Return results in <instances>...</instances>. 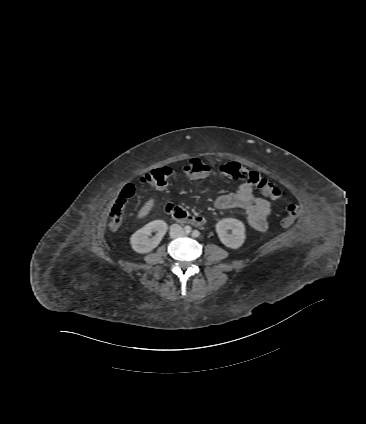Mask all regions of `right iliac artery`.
<instances>
[{
    "instance_id": "obj_1",
    "label": "right iliac artery",
    "mask_w": 366,
    "mask_h": 424,
    "mask_svg": "<svg viewBox=\"0 0 366 424\" xmlns=\"http://www.w3.org/2000/svg\"><path fill=\"white\" fill-rule=\"evenodd\" d=\"M184 230L186 233H190L192 231V228L190 226H185Z\"/></svg>"
}]
</instances>
